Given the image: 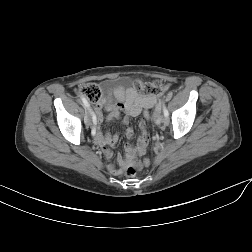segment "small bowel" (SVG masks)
<instances>
[{
  "instance_id": "1",
  "label": "small bowel",
  "mask_w": 252,
  "mask_h": 252,
  "mask_svg": "<svg viewBox=\"0 0 252 252\" xmlns=\"http://www.w3.org/2000/svg\"><path fill=\"white\" fill-rule=\"evenodd\" d=\"M115 100L108 96L103 98L99 103L95 105L97 123L93 130L97 131V136L94 137L95 142L103 148V152L107 158L113 156L111 147L118 141V134L102 133L100 131V124L103 122L104 110L107 112V120L112 121L119 119L120 112L124 111L126 116L122 118V123L127 125L129 117H137L142 112L144 114L150 108L157 103V97L141 95L134 89H124L119 87L114 92ZM139 128L141 131L138 139L137 146L134 147L130 141L133 139L134 133L131 128H128L125 132L127 143L125 144V154L119 155L117 158V165H110L109 170L114 175L122 174L127 165L135 161L138 157L143 156L148 148L149 133L145 120L139 122ZM143 164L148 165V159H143Z\"/></svg>"
}]
</instances>
